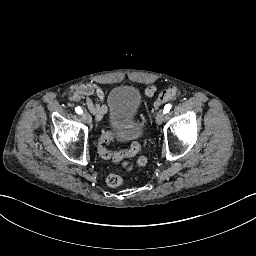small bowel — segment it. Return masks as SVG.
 <instances>
[{"mask_svg": "<svg viewBox=\"0 0 256 256\" xmlns=\"http://www.w3.org/2000/svg\"><path fill=\"white\" fill-rule=\"evenodd\" d=\"M156 91V86L151 85L145 90V94L148 97H152ZM69 99L74 103H81L84 101L97 120L102 119L109 111L104 103V91L94 83H85L77 86Z\"/></svg>", "mask_w": 256, "mask_h": 256, "instance_id": "obj_1", "label": "small bowel"}]
</instances>
